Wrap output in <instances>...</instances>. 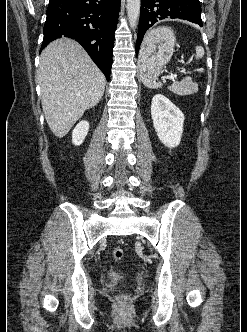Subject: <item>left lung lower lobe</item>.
Wrapping results in <instances>:
<instances>
[{
  "label": "left lung lower lobe",
  "instance_id": "1",
  "mask_svg": "<svg viewBox=\"0 0 247 332\" xmlns=\"http://www.w3.org/2000/svg\"><path fill=\"white\" fill-rule=\"evenodd\" d=\"M165 18L188 20L202 27L200 2L199 0H141L136 54L145 32L153 24Z\"/></svg>",
  "mask_w": 247,
  "mask_h": 332
}]
</instances>
